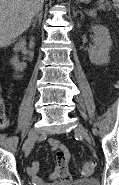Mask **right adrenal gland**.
Listing matches in <instances>:
<instances>
[{"label":"right adrenal gland","mask_w":119,"mask_h":185,"mask_svg":"<svg viewBox=\"0 0 119 185\" xmlns=\"http://www.w3.org/2000/svg\"><path fill=\"white\" fill-rule=\"evenodd\" d=\"M42 15H43V11L40 10V11L37 13V15L35 16V18L32 20V22H33V27L36 26L37 21H39V23H41V21H42Z\"/></svg>","instance_id":"1"}]
</instances>
